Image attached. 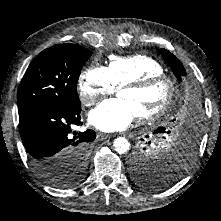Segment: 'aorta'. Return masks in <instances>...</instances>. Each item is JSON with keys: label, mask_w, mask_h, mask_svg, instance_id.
I'll use <instances>...</instances> for the list:
<instances>
[{"label": "aorta", "mask_w": 221, "mask_h": 221, "mask_svg": "<svg viewBox=\"0 0 221 221\" xmlns=\"http://www.w3.org/2000/svg\"><path fill=\"white\" fill-rule=\"evenodd\" d=\"M114 149L119 154H125L130 149L129 141L124 137L116 138L113 142Z\"/></svg>", "instance_id": "762f6f07"}]
</instances>
